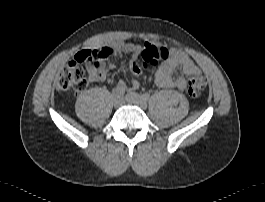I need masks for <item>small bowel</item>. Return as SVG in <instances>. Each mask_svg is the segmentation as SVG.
Instances as JSON below:
<instances>
[{
	"label": "small bowel",
	"mask_w": 265,
	"mask_h": 202,
	"mask_svg": "<svg viewBox=\"0 0 265 202\" xmlns=\"http://www.w3.org/2000/svg\"><path fill=\"white\" fill-rule=\"evenodd\" d=\"M148 45L149 44L146 43L144 46ZM144 46H139L130 42H119L117 44L104 47V49L109 50L111 52V55H124L129 53H136L144 49ZM109 56L100 58L98 66L92 67L89 70V80L91 82L103 80L107 71L116 67V63H106V60L109 58ZM177 68L181 69V74L175 77L174 73ZM193 74H201V71L196 63L183 51L172 50L170 58L166 62H164L156 71L155 82L159 87H175L183 90L187 87L188 79ZM138 86L139 83L137 81H134L132 83V89H137ZM116 87H123L125 89L126 85L124 81H119Z\"/></svg>",
	"instance_id": "1"
}]
</instances>
